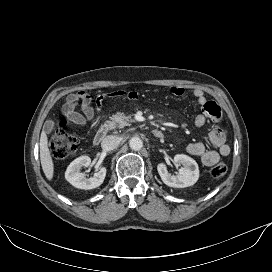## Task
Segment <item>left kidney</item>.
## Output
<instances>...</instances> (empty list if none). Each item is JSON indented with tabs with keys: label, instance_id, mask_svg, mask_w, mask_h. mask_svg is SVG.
I'll list each match as a JSON object with an SVG mask.
<instances>
[{
	"label": "left kidney",
	"instance_id": "obj_1",
	"mask_svg": "<svg viewBox=\"0 0 272 272\" xmlns=\"http://www.w3.org/2000/svg\"><path fill=\"white\" fill-rule=\"evenodd\" d=\"M174 163L183 166L179 169L177 175H171L164 163L157 165L158 173L164 184L174 188H185L197 182L199 178V168L194 159L184 154H177L174 156Z\"/></svg>",
	"mask_w": 272,
	"mask_h": 272
}]
</instances>
